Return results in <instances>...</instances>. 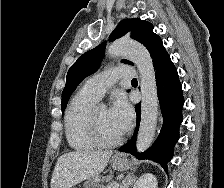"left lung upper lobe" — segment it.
I'll return each mask as SVG.
<instances>
[{"mask_svg":"<svg viewBox=\"0 0 224 188\" xmlns=\"http://www.w3.org/2000/svg\"><path fill=\"white\" fill-rule=\"evenodd\" d=\"M128 31L132 32L131 38L139 41L148 49L154 67L168 56V53L162 44V39L153 32V25L139 18L122 20L110 34V41H114ZM104 50L105 43H102L81 55L70 67L66 77V85L62 92V112L67 105L70 95L79 83L98 69ZM122 62L132 65V62L127 60H123Z\"/></svg>","mask_w":224,"mask_h":188,"instance_id":"5c2ea615","label":"left lung upper lobe"}]
</instances>
